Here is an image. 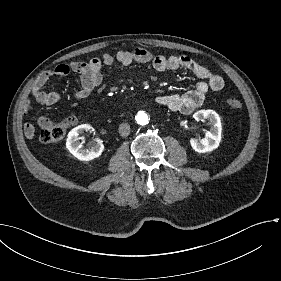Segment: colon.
<instances>
[{
  "mask_svg": "<svg viewBox=\"0 0 281 281\" xmlns=\"http://www.w3.org/2000/svg\"><path fill=\"white\" fill-rule=\"evenodd\" d=\"M227 105L233 109H237L241 106V102L237 98H228ZM70 124L69 118H61L55 120L40 129V138L39 141L43 143H54L61 140Z\"/></svg>",
  "mask_w": 281,
  "mask_h": 281,
  "instance_id": "colon-1",
  "label": "colon"
}]
</instances>
